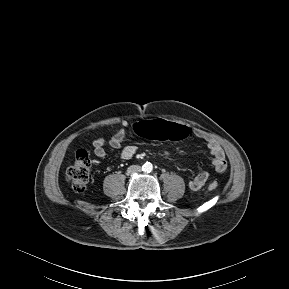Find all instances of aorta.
I'll return each mask as SVG.
<instances>
[{"label": "aorta", "instance_id": "obj_1", "mask_svg": "<svg viewBox=\"0 0 289 289\" xmlns=\"http://www.w3.org/2000/svg\"><path fill=\"white\" fill-rule=\"evenodd\" d=\"M153 169V165L150 162H146L143 166H142V170L144 172H151Z\"/></svg>", "mask_w": 289, "mask_h": 289}]
</instances>
